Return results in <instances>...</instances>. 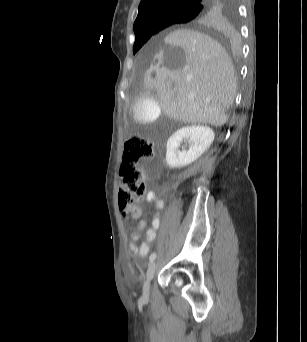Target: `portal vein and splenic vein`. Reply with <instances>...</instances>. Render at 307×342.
I'll return each mask as SVG.
<instances>
[{
	"label": "portal vein and splenic vein",
	"mask_w": 307,
	"mask_h": 342,
	"mask_svg": "<svg viewBox=\"0 0 307 342\" xmlns=\"http://www.w3.org/2000/svg\"><path fill=\"white\" fill-rule=\"evenodd\" d=\"M187 78H192V74H187Z\"/></svg>",
	"instance_id": "portal-vein-and-splenic-vein-1"
}]
</instances>
